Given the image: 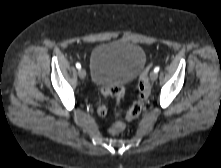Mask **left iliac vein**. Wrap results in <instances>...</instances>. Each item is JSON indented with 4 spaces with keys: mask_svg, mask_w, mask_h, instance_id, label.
Masks as SVG:
<instances>
[{
    "mask_svg": "<svg viewBox=\"0 0 221 168\" xmlns=\"http://www.w3.org/2000/svg\"><path fill=\"white\" fill-rule=\"evenodd\" d=\"M157 77H158L157 72H155V71L151 72V74H150L151 81H155L157 79Z\"/></svg>",
    "mask_w": 221,
    "mask_h": 168,
    "instance_id": "obj_1",
    "label": "left iliac vein"
}]
</instances>
